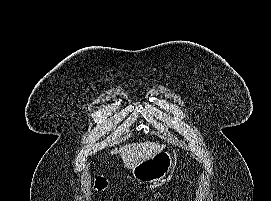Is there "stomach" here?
<instances>
[{
  "instance_id": "obj_1",
  "label": "stomach",
  "mask_w": 271,
  "mask_h": 201,
  "mask_svg": "<svg viewBox=\"0 0 271 201\" xmlns=\"http://www.w3.org/2000/svg\"><path fill=\"white\" fill-rule=\"evenodd\" d=\"M173 166V157L168 151H161L132 168V174L139 183H155L163 179Z\"/></svg>"
}]
</instances>
